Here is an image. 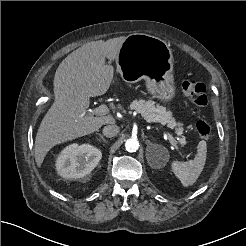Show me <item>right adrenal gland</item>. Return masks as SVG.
<instances>
[{
    "label": "right adrenal gland",
    "mask_w": 246,
    "mask_h": 246,
    "mask_svg": "<svg viewBox=\"0 0 246 246\" xmlns=\"http://www.w3.org/2000/svg\"><path fill=\"white\" fill-rule=\"evenodd\" d=\"M97 135L100 137V139H101L104 143H107V140L103 137L102 134L97 133Z\"/></svg>",
    "instance_id": "right-adrenal-gland-1"
}]
</instances>
